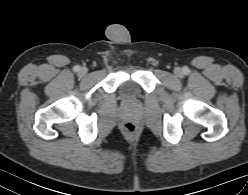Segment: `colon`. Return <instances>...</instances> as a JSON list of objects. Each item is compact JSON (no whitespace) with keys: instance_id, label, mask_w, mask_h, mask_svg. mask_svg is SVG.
<instances>
[{"instance_id":"obj_1","label":"colon","mask_w":248,"mask_h":195,"mask_svg":"<svg viewBox=\"0 0 248 195\" xmlns=\"http://www.w3.org/2000/svg\"><path fill=\"white\" fill-rule=\"evenodd\" d=\"M124 129L128 134H134L136 132V126L132 123H127Z\"/></svg>"}]
</instances>
